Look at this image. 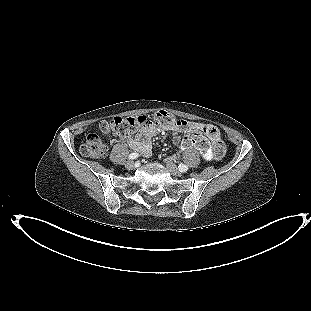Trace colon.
Segmentation results:
<instances>
[{
  "label": "colon",
  "mask_w": 311,
  "mask_h": 311,
  "mask_svg": "<svg viewBox=\"0 0 311 311\" xmlns=\"http://www.w3.org/2000/svg\"><path fill=\"white\" fill-rule=\"evenodd\" d=\"M171 124L178 127H187L188 121L170 115L165 111H159L150 119L147 116L115 117L108 121H103L99 125V129L106 135H128L138 128H146L153 125ZM187 146H194L198 148L205 158H211V150L209 142L198 133H191L185 139ZM80 152L91 158L103 157L107 152L106 145L96 133H89L80 146Z\"/></svg>",
  "instance_id": "colon-1"
}]
</instances>
